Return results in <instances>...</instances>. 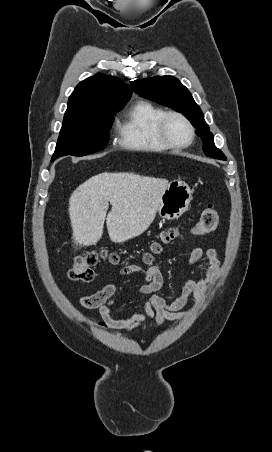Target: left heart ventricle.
Wrapping results in <instances>:
<instances>
[{"instance_id": "obj_1", "label": "left heart ventricle", "mask_w": 272, "mask_h": 452, "mask_svg": "<svg viewBox=\"0 0 272 452\" xmlns=\"http://www.w3.org/2000/svg\"><path fill=\"white\" fill-rule=\"evenodd\" d=\"M167 130L173 141L184 143L189 139L186 125L178 118L172 117L168 120Z\"/></svg>"}]
</instances>
